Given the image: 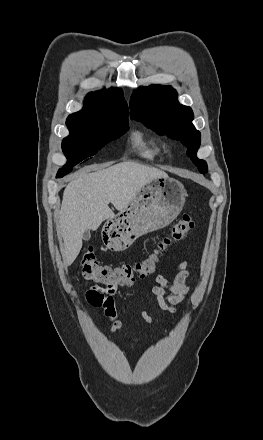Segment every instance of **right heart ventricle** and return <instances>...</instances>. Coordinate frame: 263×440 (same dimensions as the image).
Wrapping results in <instances>:
<instances>
[{"label":"right heart ventricle","mask_w":263,"mask_h":440,"mask_svg":"<svg viewBox=\"0 0 263 440\" xmlns=\"http://www.w3.org/2000/svg\"><path fill=\"white\" fill-rule=\"evenodd\" d=\"M133 150L142 158L152 160L162 153L160 142L141 130H135L131 135Z\"/></svg>","instance_id":"obj_1"}]
</instances>
